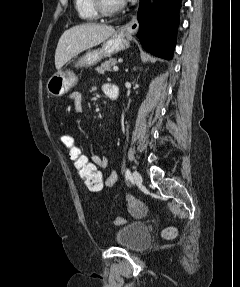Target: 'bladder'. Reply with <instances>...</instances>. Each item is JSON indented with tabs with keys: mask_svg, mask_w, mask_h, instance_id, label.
Here are the masks:
<instances>
[{
	"mask_svg": "<svg viewBox=\"0 0 240 287\" xmlns=\"http://www.w3.org/2000/svg\"><path fill=\"white\" fill-rule=\"evenodd\" d=\"M151 241L149 227L143 223L134 221L119 228L115 235V242L130 251L136 252L146 248Z\"/></svg>",
	"mask_w": 240,
	"mask_h": 287,
	"instance_id": "1",
	"label": "bladder"
}]
</instances>
